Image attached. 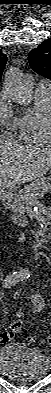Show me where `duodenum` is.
Returning a JSON list of instances; mask_svg holds the SVG:
<instances>
[{"label": "duodenum", "instance_id": "1", "mask_svg": "<svg viewBox=\"0 0 51 393\" xmlns=\"http://www.w3.org/2000/svg\"><path fill=\"white\" fill-rule=\"evenodd\" d=\"M9 199V195L6 192H1V200L7 201Z\"/></svg>", "mask_w": 51, "mask_h": 393}]
</instances>
